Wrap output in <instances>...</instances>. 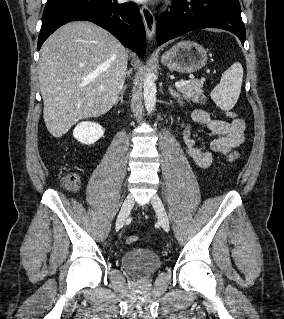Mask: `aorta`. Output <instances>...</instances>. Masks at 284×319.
Wrapping results in <instances>:
<instances>
[{"mask_svg":"<svg viewBox=\"0 0 284 319\" xmlns=\"http://www.w3.org/2000/svg\"><path fill=\"white\" fill-rule=\"evenodd\" d=\"M143 96L146 110L148 114H151L156 105V84L155 75L150 70H147V73L145 74Z\"/></svg>","mask_w":284,"mask_h":319,"instance_id":"obj_1","label":"aorta"}]
</instances>
